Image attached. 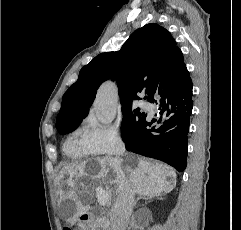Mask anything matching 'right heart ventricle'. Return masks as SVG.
<instances>
[{"label":"right heart ventricle","instance_id":"1","mask_svg":"<svg viewBox=\"0 0 241 230\" xmlns=\"http://www.w3.org/2000/svg\"><path fill=\"white\" fill-rule=\"evenodd\" d=\"M63 150L72 160H80L91 155L85 146L83 136L79 137L78 134H73L68 138Z\"/></svg>","mask_w":241,"mask_h":230}]
</instances>
